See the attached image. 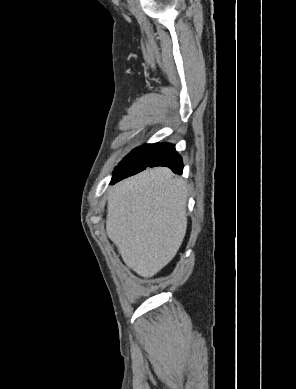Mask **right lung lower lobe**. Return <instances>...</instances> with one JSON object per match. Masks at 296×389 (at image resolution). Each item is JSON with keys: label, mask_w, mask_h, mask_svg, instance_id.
Masks as SVG:
<instances>
[{"label": "right lung lower lobe", "mask_w": 296, "mask_h": 389, "mask_svg": "<svg viewBox=\"0 0 296 389\" xmlns=\"http://www.w3.org/2000/svg\"><path fill=\"white\" fill-rule=\"evenodd\" d=\"M155 166H167L174 173L181 174L183 171V163L181 156L178 155L175 150V146L170 143H160L157 147L148 155L146 165L139 168H126L115 170L111 180L112 184L122 180L123 178L134 175L146 167Z\"/></svg>", "instance_id": "obj_1"}]
</instances>
